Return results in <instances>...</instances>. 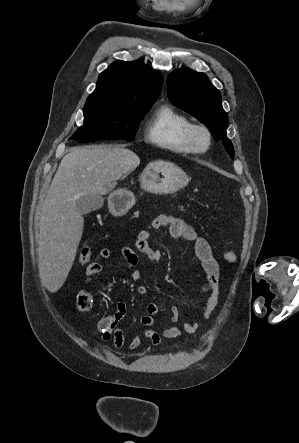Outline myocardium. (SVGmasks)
I'll return each mask as SVG.
<instances>
[{
    "label": "myocardium",
    "instance_id": "myocardium-1",
    "mask_svg": "<svg viewBox=\"0 0 299 443\" xmlns=\"http://www.w3.org/2000/svg\"><path fill=\"white\" fill-rule=\"evenodd\" d=\"M200 137L205 139L204 145L200 144ZM185 141L192 153L203 154L211 147L212 134L207 126L203 124H192L186 132Z\"/></svg>",
    "mask_w": 299,
    "mask_h": 443
}]
</instances>
